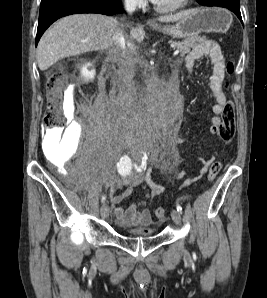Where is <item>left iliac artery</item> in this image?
<instances>
[{
	"mask_svg": "<svg viewBox=\"0 0 267 298\" xmlns=\"http://www.w3.org/2000/svg\"><path fill=\"white\" fill-rule=\"evenodd\" d=\"M176 208L178 212L182 213V207L179 204L176 205Z\"/></svg>",
	"mask_w": 267,
	"mask_h": 298,
	"instance_id": "obj_1",
	"label": "left iliac artery"
}]
</instances>
